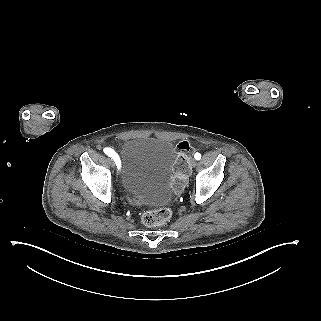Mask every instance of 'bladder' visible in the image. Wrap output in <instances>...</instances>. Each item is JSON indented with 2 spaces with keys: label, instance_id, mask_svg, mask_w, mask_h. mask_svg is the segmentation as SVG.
Here are the masks:
<instances>
[{
  "label": "bladder",
  "instance_id": "1",
  "mask_svg": "<svg viewBox=\"0 0 321 321\" xmlns=\"http://www.w3.org/2000/svg\"><path fill=\"white\" fill-rule=\"evenodd\" d=\"M176 159L177 151L170 141L151 137L126 140L120 152L121 188L144 205L169 201Z\"/></svg>",
  "mask_w": 321,
  "mask_h": 321
}]
</instances>
